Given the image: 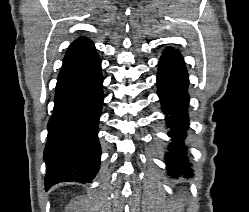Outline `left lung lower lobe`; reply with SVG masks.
Listing matches in <instances>:
<instances>
[{"instance_id":"1","label":"left lung lower lobe","mask_w":249,"mask_h":212,"mask_svg":"<svg viewBox=\"0 0 249 212\" xmlns=\"http://www.w3.org/2000/svg\"><path fill=\"white\" fill-rule=\"evenodd\" d=\"M188 84V73L183 57L177 50L166 49L159 62L157 86L163 112L167 115L166 122L172 127L169 132L172 143L169 153H166L168 173L176 178L193 175L191 164L187 158H184V154H187L184 140L188 127Z\"/></svg>"}]
</instances>
